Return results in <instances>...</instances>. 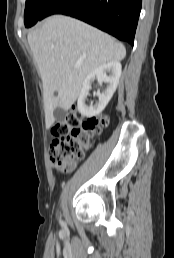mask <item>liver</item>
Instances as JSON below:
<instances>
[{"instance_id":"liver-1","label":"liver","mask_w":174,"mask_h":258,"mask_svg":"<svg viewBox=\"0 0 174 258\" xmlns=\"http://www.w3.org/2000/svg\"><path fill=\"white\" fill-rule=\"evenodd\" d=\"M27 38L43 83L48 128L55 121L54 110L71 107L85 78L94 69L111 61H121L126 55L122 43L64 15L48 17Z\"/></svg>"}]
</instances>
